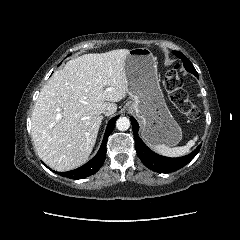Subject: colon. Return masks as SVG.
Returning <instances> with one entry per match:
<instances>
[{"instance_id":"1","label":"colon","mask_w":240,"mask_h":240,"mask_svg":"<svg viewBox=\"0 0 240 240\" xmlns=\"http://www.w3.org/2000/svg\"><path fill=\"white\" fill-rule=\"evenodd\" d=\"M164 87L171 102L183 115L190 119H197L200 116L199 109L189 100L187 93L183 89L182 78L177 66L166 72Z\"/></svg>"}]
</instances>
